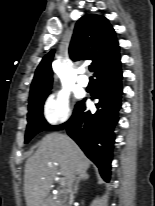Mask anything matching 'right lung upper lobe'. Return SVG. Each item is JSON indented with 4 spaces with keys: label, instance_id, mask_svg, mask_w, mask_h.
<instances>
[{
    "label": "right lung upper lobe",
    "instance_id": "right-lung-upper-lobe-1",
    "mask_svg": "<svg viewBox=\"0 0 155 206\" xmlns=\"http://www.w3.org/2000/svg\"><path fill=\"white\" fill-rule=\"evenodd\" d=\"M54 52L55 50H51L38 65L31 84L30 96L51 88V62ZM69 53L74 61L91 60L96 77L120 58L114 29L105 17L94 14L85 15L76 23Z\"/></svg>",
    "mask_w": 155,
    "mask_h": 206
}]
</instances>
